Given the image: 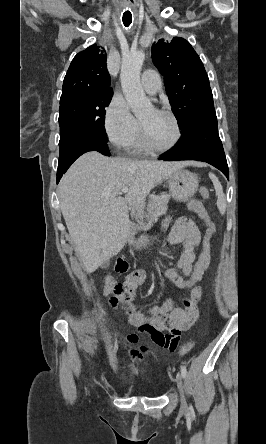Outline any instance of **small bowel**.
Listing matches in <instances>:
<instances>
[{
  "instance_id": "obj_1",
  "label": "small bowel",
  "mask_w": 266,
  "mask_h": 444,
  "mask_svg": "<svg viewBox=\"0 0 266 444\" xmlns=\"http://www.w3.org/2000/svg\"><path fill=\"white\" fill-rule=\"evenodd\" d=\"M170 224V219L165 223V227ZM169 241L173 244H182V251L179 258L172 266L163 270L164 275L178 287L184 285V278L179 275L181 271L188 276L196 260V252L200 244V233L195 223L186 217L178 218L170 228ZM130 280L134 289H136L145 279L143 272H134L127 278ZM114 284L112 278H107L103 283L102 293L108 294ZM202 289L196 286L190 293V298L183 302V307H176L170 313L164 316L156 317H136L126 312L125 318L128 324L137 328V333L130 334L127 337L126 345L136 343L139 334H147L152 337L154 342L164 350L173 353L177 350L180 335L194 325L199 317L198 301ZM121 309V308H117ZM166 330V332H164ZM147 349L142 347L140 350H130L133 358L141 357Z\"/></svg>"
}]
</instances>
